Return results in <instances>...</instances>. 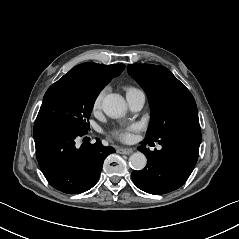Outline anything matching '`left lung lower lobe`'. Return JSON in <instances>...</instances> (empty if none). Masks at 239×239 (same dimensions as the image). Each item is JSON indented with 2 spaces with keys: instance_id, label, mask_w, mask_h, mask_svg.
Segmentation results:
<instances>
[{
  "instance_id": "1",
  "label": "left lung lower lobe",
  "mask_w": 239,
  "mask_h": 239,
  "mask_svg": "<svg viewBox=\"0 0 239 239\" xmlns=\"http://www.w3.org/2000/svg\"><path fill=\"white\" fill-rule=\"evenodd\" d=\"M201 142L200 126L185 125L168 131L158 140L160 151H150L142 142L138 150L148 161L141 171L131 174L134 184L141 190L154 194H165L180 188L192 173L198 159Z\"/></svg>"
}]
</instances>
